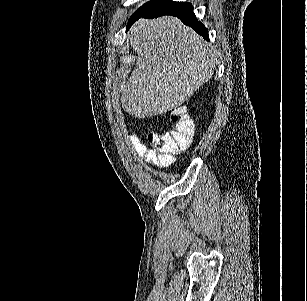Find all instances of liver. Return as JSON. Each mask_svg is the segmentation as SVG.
Returning <instances> with one entry per match:
<instances>
[{
	"label": "liver",
	"mask_w": 307,
	"mask_h": 301,
	"mask_svg": "<svg viewBox=\"0 0 307 301\" xmlns=\"http://www.w3.org/2000/svg\"><path fill=\"white\" fill-rule=\"evenodd\" d=\"M128 38L137 60L121 104L133 116L177 108L214 74L219 52L176 16L139 18Z\"/></svg>",
	"instance_id": "6515ba94"
}]
</instances>
